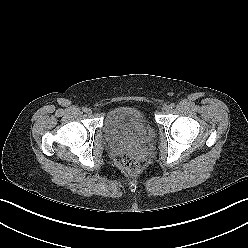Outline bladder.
Wrapping results in <instances>:
<instances>
[{
  "mask_svg": "<svg viewBox=\"0 0 248 248\" xmlns=\"http://www.w3.org/2000/svg\"><path fill=\"white\" fill-rule=\"evenodd\" d=\"M103 130L105 137L115 143L128 138L144 140L153 131L147 114L138 108L118 107L106 117Z\"/></svg>",
  "mask_w": 248,
  "mask_h": 248,
  "instance_id": "31cf9c89",
  "label": "bladder"
}]
</instances>
